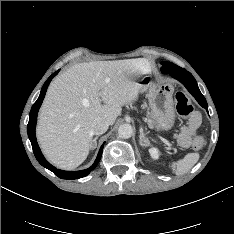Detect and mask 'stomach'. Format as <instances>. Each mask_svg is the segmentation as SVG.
I'll return each mask as SVG.
<instances>
[{"label": "stomach", "instance_id": "stomach-1", "mask_svg": "<svg viewBox=\"0 0 234 234\" xmlns=\"http://www.w3.org/2000/svg\"><path fill=\"white\" fill-rule=\"evenodd\" d=\"M141 85L140 92H147L151 108L150 117L158 130L168 131L175 122V106L173 100L174 86L172 83H156L150 72L137 77Z\"/></svg>", "mask_w": 234, "mask_h": 234}]
</instances>
